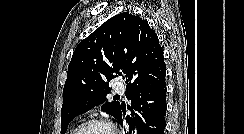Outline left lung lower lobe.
I'll return each instance as SVG.
<instances>
[{
  "label": "left lung lower lobe",
  "instance_id": "obj_1",
  "mask_svg": "<svg viewBox=\"0 0 244 134\" xmlns=\"http://www.w3.org/2000/svg\"><path fill=\"white\" fill-rule=\"evenodd\" d=\"M166 92V83H161L126 93L127 98L132 101L130 110L135 109L144 118L142 121L134 112L126 117L130 133L137 126L138 134H164L167 109ZM122 111L117 118L120 123H122Z\"/></svg>",
  "mask_w": 244,
  "mask_h": 134
}]
</instances>
